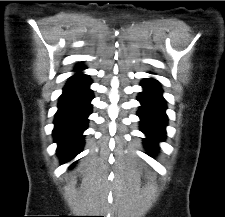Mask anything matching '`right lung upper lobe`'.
Listing matches in <instances>:
<instances>
[{
  "label": "right lung upper lobe",
  "mask_w": 225,
  "mask_h": 217,
  "mask_svg": "<svg viewBox=\"0 0 225 217\" xmlns=\"http://www.w3.org/2000/svg\"><path fill=\"white\" fill-rule=\"evenodd\" d=\"M85 67H83L82 65H79L75 68L76 72H80L82 70H84ZM82 77H87L86 75L82 74V73H77L75 75H73L72 77H70V79H74V78H82Z\"/></svg>",
  "instance_id": "1"
}]
</instances>
